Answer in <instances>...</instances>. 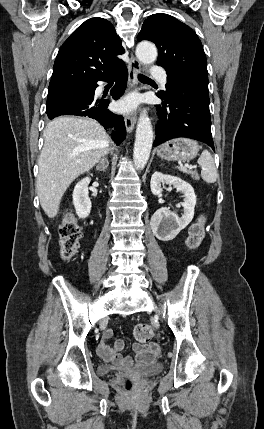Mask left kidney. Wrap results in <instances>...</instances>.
<instances>
[{"mask_svg":"<svg viewBox=\"0 0 264 429\" xmlns=\"http://www.w3.org/2000/svg\"><path fill=\"white\" fill-rule=\"evenodd\" d=\"M162 183L173 185L185 197L182 203L184 214L181 217L166 207L158 209L151 217L150 225L154 235L161 241H169L174 239L192 221L196 195L193 187L186 181L161 172H154L151 177L150 187L154 195L162 193Z\"/></svg>","mask_w":264,"mask_h":429,"instance_id":"5707ae66","label":"left kidney"}]
</instances>
